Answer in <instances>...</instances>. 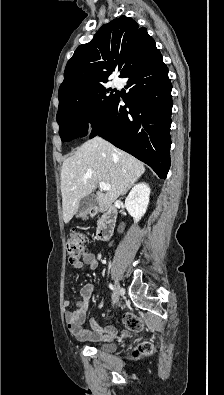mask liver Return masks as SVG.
<instances>
[{
	"mask_svg": "<svg viewBox=\"0 0 224 395\" xmlns=\"http://www.w3.org/2000/svg\"><path fill=\"white\" fill-rule=\"evenodd\" d=\"M144 172L143 163L101 137L86 141L62 164L64 222L69 223L81 199L92 193L99 182L109 184L111 188L106 193L97 192L98 204L110 205L125 194Z\"/></svg>",
	"mask_w": 224,
	"mask_h": 395,
	"instance_id": "6515ba94",
	"label": "liver"
}]
</instances>
